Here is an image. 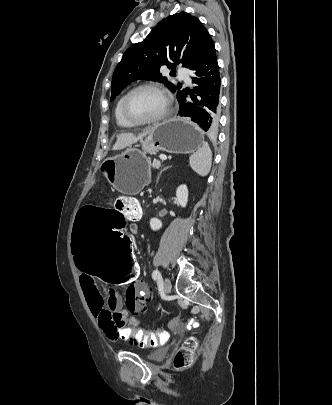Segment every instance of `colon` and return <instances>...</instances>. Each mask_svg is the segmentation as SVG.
Here are the masks:
<instances>
[{"label":"colon","mask_w":332,"mask_h":405,"mask_svg":"<svg viewBox=\"0 0 332 405\" xmlns=\"http://www.w3.org/2000/svg\"><path fill=\"white\" fill-rule=\"evenodd\" d=\"M112 205H98V202H85L78 219L72 221L73 249L75 262L82 268V275H96L97 281H107L109 287H130L131 281H137L139 266L134 259V234H127L125 218L140 211V203L131 196L121 195ZM160 317V312H155ZM149 316L147 323L154 325L156 318ZM200 323L206 322L205 316L199 317ZM189 326H196L194 318H187ZM119 329L118 337L122 342H134L140 351H159L160 345L168 340L169 325H156L154 330ZM136 338V339H135ZM198 343L188 338L174 356V366L184 368L191 364Z\"/></svg>","instance_id":"1"}]
</instances>
